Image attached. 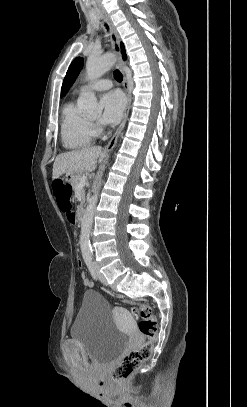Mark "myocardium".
<instances>
[{"mask_svg": "<svg viewBox=\"0 0 247 407\" xmlns=\"http://www.w3.org/2000/svg\"><path fill=\"white\" fill-rule=\"evenodd\" d=\"M88 121H89L90 125L93 127L94 126V121H92V120H88Z\"/></svg>", "mask_w": 247, "mask_h": 407, "instance_id": "myocardium-1", "label": "myocardium"}]
</instances>
